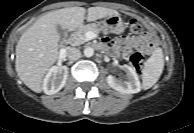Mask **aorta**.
<instances>
[{
  "label": "aorta",
  "mask_w": 194,
  "mask_h": 133,
  "mask_svg": "<svg viewBox=\"0 0 194 133\" xmlns=\"http://www.w3.org/2000/svg\"><path fill=\"white\" fill-rule=\"evenodd\" d=\"M93 54H94V49H93V48H91V47H86V48L84 49V55H85L86 57H92Z\"/></svg>",
  "instance_id": "1"
}]
</instances>
